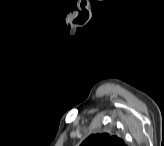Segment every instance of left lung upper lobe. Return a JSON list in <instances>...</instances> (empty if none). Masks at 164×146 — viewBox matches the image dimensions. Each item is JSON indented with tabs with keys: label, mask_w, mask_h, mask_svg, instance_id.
I'll list each match as a JSON object with an SVG mask.
<instances>
[{
	"label": "left lung upper lobe",
	"mask_w": 164,
	"mask_h": 146,
	"mask_svg": "<svg viewBox=\"0 0 164 146\" xmlns=\"http://www.w3.org/2000/svg\"><path fill=\"white\" fill-rule=\"evenodd\" d=\"M81 146H125L123 139L108 133L90 135Z\"/></svg>",
	"instance_id": "1"
}]
</instances>
